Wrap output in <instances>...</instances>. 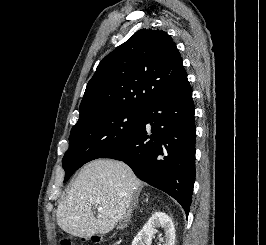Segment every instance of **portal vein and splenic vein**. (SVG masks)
I'll use <instances>...</instances> for the list:
<instances>
[{
    "mask_svg": "<svg viewBox=\"0 0 266 245\" xmlns=\"http://www.w3.org/2000/svg\"><path fill=\"white\" fill-rule=\"evenodd\" d=\"M98 211H102V207H97Z\"/></svg>",
    "mask_w": 266,
    "mask_h": 245,
    "instance_id": "obj_1",
    "label": "portal vein and splenic vein"
}]
</instances>
